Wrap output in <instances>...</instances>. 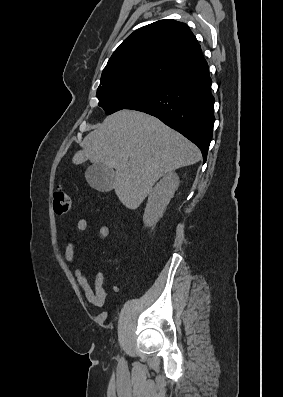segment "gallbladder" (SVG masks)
I'll use <instances>...</instances> for the list:
<instances>
[{"mask_svg":"<svg viewBox=\"0 0 283 397\" xmlns=\"http://www.w3.org/2000/svg\"><path fill=\"white\" fill-rule=\"evenodd\" d=\"M85 178L93 189L109 192L113 189L115 172L101 163L93 164L86 170Z\"/></svg>","mask_w":283,"mask_h":397,"instance_id":"bac80fb5","label":"gallbladder"}]
</instances>
